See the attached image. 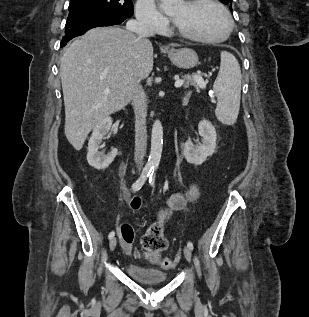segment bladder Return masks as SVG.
I'll list each match as a JSON object with an SVG mask.
<instances>
[{
  "label": "bladder",
  "mask_w": 309,
  "mask_h": 317,
  "mask_svg": "<svg viewBox=\"0 0 309 317\" xmlns=\"http://www.w3.org/2000/svg\"><path fill=\"white\" fill-rule=\"evenodd\" d=\"M126 271L133 280L146 285L162 284L167 281L166 272L157 268L129 263Z\"/></svg>",
  "instance_id": "31cf9c89"
}]
</instances>
